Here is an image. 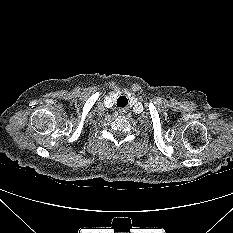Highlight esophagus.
<instances>
[{
  "instance_id": "esophagus-1",
  "label": "esophagus",
  "mask_w": 233,
  "mask_h": 233,
  "mask_svg": "<svg viewBox=\"0 0 233 233\" xmlns=\"http://www.w3.org/2000/svg\"><path fill=\"white\" fill-rule=\"evenodd\" d=\"M119 113L124 114V113H125V110H124V109H120V110H119Z\"/></svg>"
}]
</instances>
